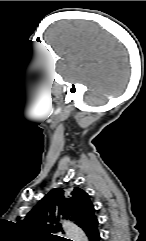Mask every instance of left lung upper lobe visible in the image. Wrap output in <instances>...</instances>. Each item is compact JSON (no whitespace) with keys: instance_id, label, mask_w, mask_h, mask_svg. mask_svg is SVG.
Wrapping results in <instances>:
<instances>
[{"instance_id":"5c2ea615","label":"left lung upper lobe","mask_w":146,"mask_h":241,"mask_svg":"<svg viewBox=\"0 0 146 241\" xmlns=\"http://www.w3.org/2000/svg\"><path fill=\"white\" fill-rule=\"evenodd\" d=\"M60 216L84 228L96 220L89 195L78 187L71 190L57 188L45 195L20 223L41 241H63L55 235L62 231Z\"/></svg>"}]
</instances>
